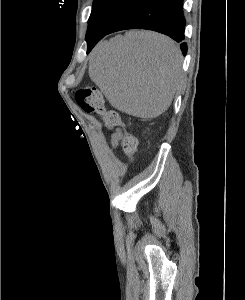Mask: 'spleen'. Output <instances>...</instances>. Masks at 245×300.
I'll list each match as a JSON object with an SVG mask.
<instances>
[{
	"label": "spleen",
	"mask_w": 245,
	"mask_h": 300,
	"mask_svg": "<svg viewBox=\"0 0 245 300\" xmlns=\"http://www.w3.org/2000/svg\"><path fill=\"white\" fill-rule=\"evenodd\" d=\"M182 55L168 37L131 31L101 43L89 76L119 111L154 118L171 105L181 79Z\"/></svg>",
	"instance_id": "3e777b00"
}]
</instances>
